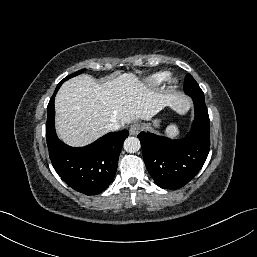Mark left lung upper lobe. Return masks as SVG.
<instances>
[{
    "instance_id": "5c2ea615",
    "label": "left lung upper lobe",
    "mask_w": 257,
    "mask_h": 257,
    "mask_svg": "<svg viewBox=\"0 0 257 257\" xmlns=\"http://www.w3.org/2000/svg\"><path fill=\"white\" fill-rule=\"evenodd\" d=\"M184 91L187 95L194 97H204V93L197 84V82L194 80V78L191 76V74H187L184 81Z\"/></svg>"
}]
</instances>
